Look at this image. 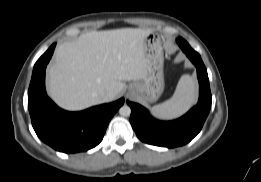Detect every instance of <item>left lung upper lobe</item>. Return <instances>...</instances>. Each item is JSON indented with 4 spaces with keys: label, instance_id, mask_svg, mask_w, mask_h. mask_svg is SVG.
<instances>
[{
    "label": "left lung upper lobe",
    "instance_id": "obj_1",
    "mask_svg": "<svg viewBox=\"0 0 261 182\" xmlns=\"http://www.w3.org/2000/svg\"><path fill=\"white\" fill-rule=\"evenodd\" d=\"M177 43L181 47V49L187 48V49H192L190 45L181 37L177 38Z\"/></svg>",
    "mask_w": 261,
    "mask_h": 182
}]
</instances>
